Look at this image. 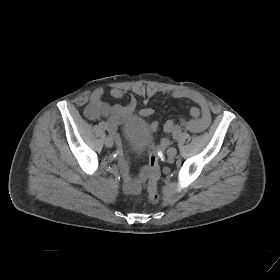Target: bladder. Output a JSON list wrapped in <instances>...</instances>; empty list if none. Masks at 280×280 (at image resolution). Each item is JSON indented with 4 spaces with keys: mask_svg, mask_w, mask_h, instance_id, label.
I'll return each instance as SVG.
<instances>
[{
    "mask_svg": "<svg viewBox=\"0 0 280 280\" xmlns=\"http://www.w3.org/2000/svg\"><path fill=\"white\" fill-rule=\"evenodd\" d=\"M122 132L130 151L135 155H141L151 138L148 123L141 117H130L123 123Z\"/></svg>",
    "mask_w": 280,
    "mask_h": 280,
    "instance_id": "1",
    "label": "bladder"
}]
</instances>
